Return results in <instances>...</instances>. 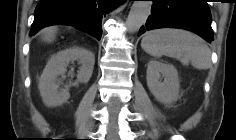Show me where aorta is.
Masks as SVG:
<instances>
[{
  "label": "aorta",
  "mask_w": 236,
  "mask_h": 140,
  "mask_svg": "<svg viewBox=\"0 0 236 140\" xmlns=\"http://www.w3.org/2000/svg\"><path fill=\"white\" fill-rule=\"evenodd\" d=\"M151 10L150 1H134L126 20V28L130 33L137 32L146 22Z\"/></svg>",
  "instance_id": "aorta-1"
}]
</instances>
